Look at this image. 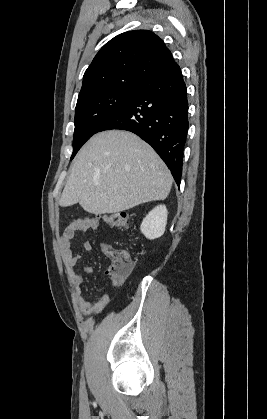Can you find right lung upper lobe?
Listing matches in <instances>:
<instances>
[{
  "label": "right lung upper lobe",
  "instance_id": "right-lung-upper-lobe-1",
  "mask_svg": "<svg viewBox=\"0 0 267 419\" xmlns=\"http://www.w3.org/2000/svg\"><path fill=\"white\" fill-rule=\"evenodd\" d=\"M174 63L162 39L148 30L117 35L97 53L83 76L78 101L99 92L141 85Z\"/></svg>",
  "mask_w": 267,
  "mask_h": 419
}]
</instances>
